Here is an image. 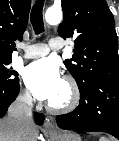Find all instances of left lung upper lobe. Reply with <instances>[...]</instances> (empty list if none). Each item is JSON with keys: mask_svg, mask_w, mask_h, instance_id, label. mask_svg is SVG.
Masks as SVG:
<instances>
[{"mask_svg": "<svg viewBox=\"0 0 119 141\" xmlns=\"http://www.w3.org/2000/svg\"><path fill=\"white\" fill-rule=\"evenodd\" d=\"M58 34L74 38V55L64 62L79 90L101 77H119L115 22L105 0H62Z\"/></svg>", "mask_w": 119, "mask_h": 141, "instance_id": "5c2ea615", "label": "left lung upper lobe"}]
</instances>
